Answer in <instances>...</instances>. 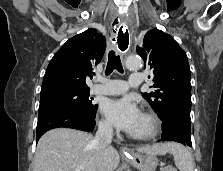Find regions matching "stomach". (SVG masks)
<instances>
[{
  "instance_id": "obj_1",
  "label": "stomach",
  "mask_w": 223,
  "mask_h": 171,
  "mask_svg": "<svg viewBox=\"0 0 223 171\" xmlns=\"http://www.w3.org/2000/svg\"><path fill=\"white\" fill-rule=\"evenodd\" d=\"M132 163L139 171H155L158 160L156 155L142 152L132 154Z\"/></svg>"
}]
</instances>
